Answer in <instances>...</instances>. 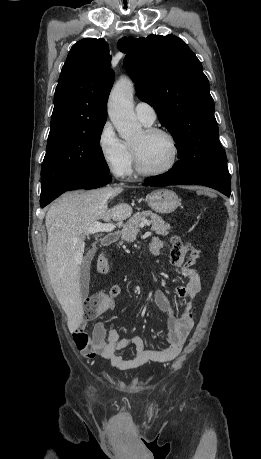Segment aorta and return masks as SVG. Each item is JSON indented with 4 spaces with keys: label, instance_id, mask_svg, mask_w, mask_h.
<instances>
[{
    "label": "aorta",
    "instance_id": "aorta-1",
    "mask_svg": "<svg viewBox=\"0 0 261 459\" xmlns=\"http://www.w3.org/2000/svg\"><path fill=\"white\" fill-rule=\"evenodd\" d=\"M133 94V83L127 78H121L113 87L108 100L110 120L125 140L137 137L142 130L134 113Z\"/></svg>",
    "mask_w": 261,
    "mask_h": 459
}]
</instances>
